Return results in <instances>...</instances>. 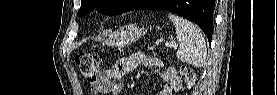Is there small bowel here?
Masks as SVG:
<instances>
[{
	"label": "small bowel",
	"instance_id": "obj_1",
	"mask_svg": "<svg viewBox=\"0 0 277 95\" xmlns=\"http://www.w3.org/2000/svg\"><path fill=\"white\" fill-rule=\"evenodd\" d=\"M160 64L161 61L158 59L149 57L140 51L126 55L120 58L112 68L99 72L98 76L91 81V94L119 95L122 90L120 79L139 65L155 69L164 81H170L176 77L175 72L160 68ZM159 95H170V87H163Z\"/></svg>",
	"mask_w": 277,
	"mask_h": 95
}]
</instances>
